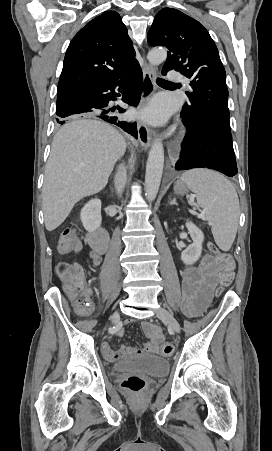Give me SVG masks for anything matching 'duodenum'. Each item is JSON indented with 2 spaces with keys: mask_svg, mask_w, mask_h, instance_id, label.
<instances>
[{
  "mask_svg": "<svg viewBox=\"0 0 272 451\" xmlns=\"http://www.w3.org/2000/svg\"><path fill=\"white\" fill-rule=\"evenodd\" d=\"M87 241L96 253L104 254L108 248L109 234L103 227H99L88 232Z\"/></svg>",
  "mask_w": 272,
  "mask_h": 451,
  "instance_id": "410a0bca",
  "label": "duodenum"
}]
</instances>
